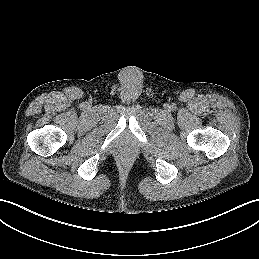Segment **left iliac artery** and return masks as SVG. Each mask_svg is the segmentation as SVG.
I'll return each mask as SVG.
<instances>
[{"mask_svg": "<svg viewBox=\"0 0 259 259\" xmlns=\"http://www.w3.org/2000/svg\"><path fill=\"white\" fill-rule=\"evenodd\" d=\"M176 106L175 105H172V108H175Z\"/></svg>", "mask_w": 259, "mask_h": 259, "instance_id": "left-iliac-artery-1", "label": "left iliac artery"}]
</instances>
